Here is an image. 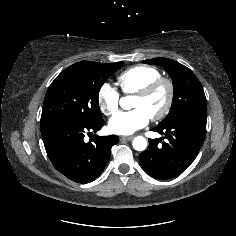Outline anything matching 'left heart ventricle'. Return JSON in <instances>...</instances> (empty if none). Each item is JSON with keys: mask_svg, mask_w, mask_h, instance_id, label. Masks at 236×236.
<instances>
[{"mask_svg": "<svg viewBox=\"0 0 236 236\" xmlns=\"http://www.w3.org/2000/svg\"><path fill=\"white\" fill-rule=\"evenodd\" d=\"M166 100V89L161 87L157 89L152 95L147 98H140L135 96L132 107L143 109L150 117L159 111L164 106Z\"/></svg>", "mask_w": 236, "mask_h": 236, "instance_id": "obj_1", "label": "left heart ventricle"}]
</instances>
